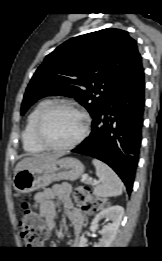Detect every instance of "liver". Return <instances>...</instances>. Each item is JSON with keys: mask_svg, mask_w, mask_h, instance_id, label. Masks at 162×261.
Instances as JSON below:
<instances>
[{"mask_svg": "<svg viewBox=\"0 0 162 261\" xmlns=\"http://www.w3.org/2000/svg\"><path fill=\"white\" fill-rule=\"evenodd\" d=\"M61 156H62L61 154H56V155L41 154V155H36V156H32V157H26L17 163L14 171L16 173L23 169L35 168L37 166H40L47 160H51V159L58 158Z\"/></svg>", "mask_w": 162, "mask_h": 261, "instance_id": "1", "label": "liver"}]
</instances>
